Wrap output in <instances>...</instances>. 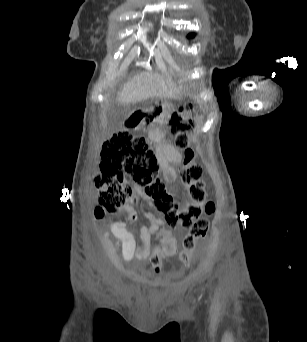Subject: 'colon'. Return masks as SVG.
<instances>
[{
    "label": "colon",
    "instance_id": "colon-1",
    "mask_svg": "<svg viewBox=\"0 0 307 342\" xmlns=\"http://www.w3.org/2000/svg\"><path fill=\"white\" fill-rule=\"evenodd\" d=\"M197 118L191 107H182L170 114L169 128L175 137L177 148L183 151L180 164L179 180L187 187L189 201H177L168 191L164 181L158 176L160 166L157 157L147 140L142 136L127 131H118L102 146L101 167L95 178L99 190L98 213L100 217L117 215L131 196V189L124 185V175L131 177L137 185L144 189V194L152 201L153 210L162 215L171 227L181 224L189 232L182 239L183 263L191 260L190 252L196 243L208 234V221L201 218L204 211L212 215L216 205L213 200L205 201V184L202 181V168L195 162L198 151L189 146L188 134ZM129 213V219H132ZM164 233L163 243H156L151 264L155 272L160 271L159 254H178V239L166 226L158 229Z\"/></svg>",
    "mask_w": 307,
    "mask_h": 342
}]
</instances>
